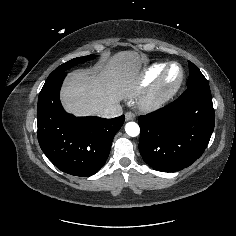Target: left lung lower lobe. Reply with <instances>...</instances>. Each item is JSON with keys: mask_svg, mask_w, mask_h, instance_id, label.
Returning a JSON list of instances; mask_svg holds the SVG:
<instances>
[{"mask_svg": "<svg viewBox=\"0 0 236 236\" xmlns=\"http://www.w3.org/2000/svg\"><path fill=\"white\" fill-rule=\"evenodd\" d=\"M139 151L143 160L162 172H173L191 165L206 149L215 116L210 87L198 85L174 102L139 116Z\"/></svg>", "mask_w": 236, "mask_h": 236, "instance_id": "0a47b994", "label": "left lung lower lobe"}]
</instances>
